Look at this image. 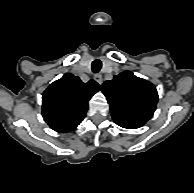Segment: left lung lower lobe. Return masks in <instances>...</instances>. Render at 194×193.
Masks as SVG:
<instances>
[{"instance_id": "0a47b994", "label": "left lung lower lobe", "mask_w": 194, "mask_h": 193, "mask_svg": "<svg viewBox=\"0 0 194 193\" xmlns=\"http://www.w3.org/2000/svg\"><path fill=\"white\" fill-rule=\"evenodd\" d=\"M119 126L123 127V128H127V129H135V128H138V127H134V126H131V125H127V124H122V123H118Z\"/></svg>"}]
</instances>
